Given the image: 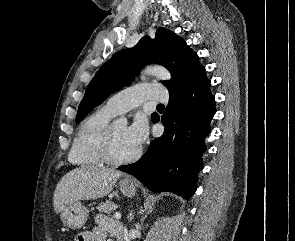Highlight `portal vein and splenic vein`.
<instances>
[{
	"instance_id": "obj_1",
	"label": "portal vein and splenic vein",
	"mask_w": 295,
	"mask_h": 241,
	"mask_svg": "<svg viewBox=\"0 0 295 241\" xmlns=\"http://www.w3.org/2000/svg\"><path fill=\"white\" fill-rule=\"evenodd\" d=\"M114 217L116 219H121V214L119 212H115Z\"/></svg>"
}]
</instances>
